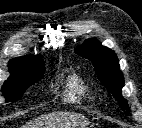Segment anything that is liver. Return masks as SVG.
<instances>
[{
	"mask_svg": "<svg viewBox=\"0 0 142 128\" xmlns=\"http://www.w3.org/2000/svg\"><path fill=\"white\" fill-rule=\"evenodd\" d=\"M84 122L87 120L83 115L74 112H55L42 115L23 128H76Z\"/></svg>",
	"mask_w": 142,
	"mask_h": 128,
	"instance_id": "liver-1",
	"label": "liver"
}]
</instances>
